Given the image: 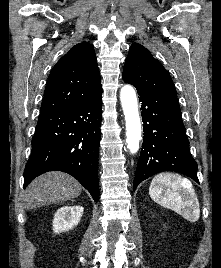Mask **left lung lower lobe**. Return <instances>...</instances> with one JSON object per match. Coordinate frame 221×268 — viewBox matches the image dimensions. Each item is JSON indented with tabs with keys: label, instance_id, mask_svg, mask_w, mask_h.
Instances as JSON below:
<instances>
[{
	"label": "left lung lower lobe",
	"instance_id": "obj_1",
	"mask_svg": "<svg viewBox=\"0 0 221 268\" xmlns=\"http://www.w3.org/2000/svg\"><path fill=\"white\" fill-rule=\"evenodd\" d=\"M137 92L142 104L144 137L133 189L162 171L179 172L199 183L177 97Z\"/></svg>",
	"mask_w": 221,
	"mask_h": 268
}]
</instances>
